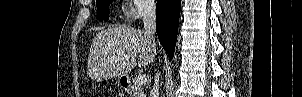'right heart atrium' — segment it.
Instances as JSON below:
<instances>
[{
	"label": "right heart atrium",
	"mask_w": 302,
	"mask_h": 97,
	"mask_svg": "<svg viewBox=\"0 0 302 97\" xmlns=\"http://www.w3.org/2000/svg\"><path fill=\"white\" fill-rule=\"evenodd\" d=\"M130 6L125 11V19L128 22L135 23L143 17L150 15L154 11L152 1L131 0Z\"/></svg>",
	"instance_id": "d8ad5b80"
}]
</instances>
